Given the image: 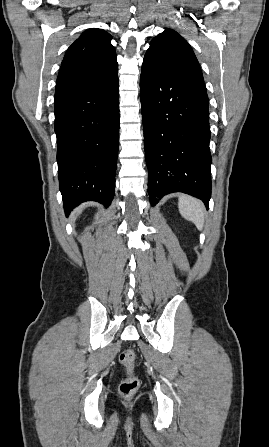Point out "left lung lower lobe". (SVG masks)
<instances>
[{"label":"left lung lower lobe","instance_id":"obj_1","mask_svg":"<svg viewBox=\"0 0 269 447\" xmlns=\"http://www.w3.org/2000/svg\"><path fill=\"white\" fill-rule=\"evenodd\" d=\"M152 205L171 192L211 196L208 96L204 81L145 56L140 78Z\"/></svg>","mask_w":269,"mask_h":447}]
</instances>
